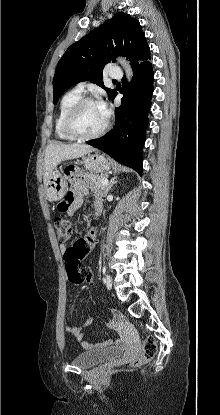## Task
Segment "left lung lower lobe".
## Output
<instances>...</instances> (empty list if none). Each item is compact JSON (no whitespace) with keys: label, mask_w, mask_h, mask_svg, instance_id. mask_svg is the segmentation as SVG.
I'll list each match as a JSON object with an SVG mask.
<instances>
[{"label":"left lung lower lobe","mask_w":220,"mask_h":415,"mask_svg":"<svg viewBox=\"0 0 220 415\" xmlns=\"http://www.w3.org/2000/svg\"><path fill=\"white\" fill-rule=\"evenodd\" d=\"M133 79L128 85L125 77L121 106L115 108V126L101 138L87 144L102 150L116 161L142 175V148L145 143L148 112L151 107L154 72L149 61L133 66ZM117 92L110 97L113 101Z\"/></svg>","instance_id":"0a47b994"}]
</instances>
